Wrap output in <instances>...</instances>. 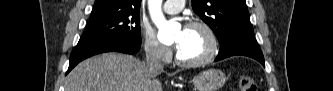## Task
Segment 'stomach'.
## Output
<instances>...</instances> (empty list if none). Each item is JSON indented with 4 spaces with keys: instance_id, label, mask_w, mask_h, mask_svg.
<instances>
[{
    "instance_id": "obj_1",
    "label": "stomach",
    "mask_w": 333,
    "mask_h": 91,
    "mask_svg": "<svg viewBox=\"0 0 333 91\" xmlns=\"http://www.w3.org/2000/svg\"><path fill=\"white\" fill-rule=\"evenodd\" d=\"M226 82L225 74L216 69L201 72L194 79L195 91H217Z\"/></svg>"
}]
</instances>
